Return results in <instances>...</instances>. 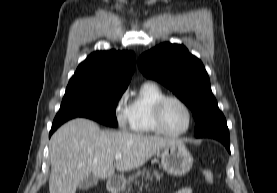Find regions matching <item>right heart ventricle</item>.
I'll list each match as a JSON object with an SVG mask.
<instances>
[{
  "label": "right heart ventricle",
  "mask_w": 277,
  "mask_h": 193,
  "mask_svg": "<svg viewBox=\"0 0 277 193\" xmlns=\"http://www.w3.org/2000/svg\"><path fill=\"white\" fill-rule=\"evenodd\" d=\"M165 96L164 91L154 83H144L137 95L127 107L129 126L133 132L140 134H156L153 110L156 102Z\"/></svg>",
  "instance_id": "e07e8e85"
}]
</instances>
